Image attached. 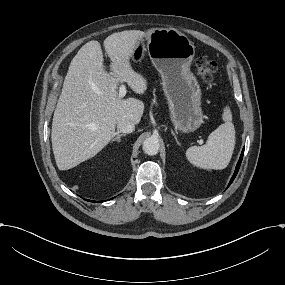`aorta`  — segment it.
Here are the masks:
<instances>
[{"label":"aorta","mask_w":285,"mask_h":285,"mask_svg":"<svg viewBox=\"0 0 285 285\" xmlns=\"http://www.w3.org/2000/svg\"><path fill=\"white\" fill-rule=\"evenodd\" d=\"M142 148L145 154L150 156L156 155L160 148V143L158 138L151 136L145 139Z\"/></svg>","instance_id":"1"}]
</instances>
